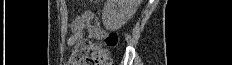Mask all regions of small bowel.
<instances>
[{"label": "small bowel", "mask_w": 232, "mask_h": 65, "mask_svg": "<svg viewBox=\"0 0 232 65\" xmlns=\"http://www.w3.org/2000/svg\"><path fill=\"white\" fill-rule=\"evenodd\" d=\"M88 29L90 34L103 36L104 32L99 28L94 18L89 13H84L79 16L71 26V35L67 40L68 46H74L79 40L82 39L84 30ZM66 65H87L77 52V46L68 59Z\"/></svg>", "instance_id": "c3829d8e"}]
</instances>
